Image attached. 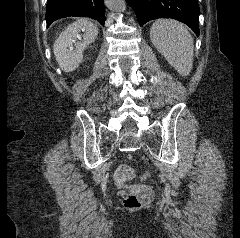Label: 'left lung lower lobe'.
<instances>
[{
	"label": "left lung lower lobe",
	"mask_w": 240,
	"mask_h": 238,
	"mask_svg": "<svg viewBox=\"0 0 240 238\" xmlns=\"http://www.w3.org/2000/svg\"><path fill=\"white\" fill-rule=\"evenodd\" d=\"M140 26L157 18H171L187 24L199 36L198 0H127Z\"/></svg>",
	"instance_id": "1"
}]
</instances>
